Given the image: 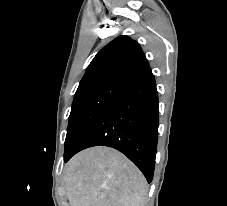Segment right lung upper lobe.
<instances>
[{
    "label": "right lung upper lobe",
    "instance_id": "right-lung-upper-lobe-1",
    "mask_svg": "<svg viewBox=\"0 0 227 206\" xmlns=\"http://www.w3.org/2000/svg\"><path fill=\"white\" fill-rule=\"evenodd\" d=\"M151 72L140 45L128 36H119L102 48L89 64L79 88L117 79L131 82Z\"/></svg>",
    "mask_w": 227,
    "mask_h": 206
}]
</instances>
